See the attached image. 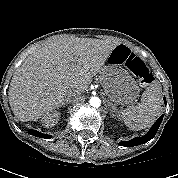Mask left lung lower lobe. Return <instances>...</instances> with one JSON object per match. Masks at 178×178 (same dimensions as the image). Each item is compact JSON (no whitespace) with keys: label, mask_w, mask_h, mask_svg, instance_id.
Returning a JSON list of instances; mask_svg holds the SVG:
<instances>
[{"label":"left lung lower lobe","mask_w":178,"mask_h":178,"mask_svg":"<svg viewBox=\"0 0 178 178\" xmlns=\"http://www.w3.org/2000/svg\"><path fill=\"white\" fill-rule=\"evenodd\" d=\"M164 102L167 103L165 98H164ZM163 116L164 115H162L158 118V120L151 127L150 131L146 135H144L143 137H137V138H134V139L127 141V142H120L119 144L120 145H126L127 147H131V146H137V145L144 144V143L148 142L157 133L159 126L162 122Z\"/></svg>","instance_id":"obj_1"}]
</instances>
